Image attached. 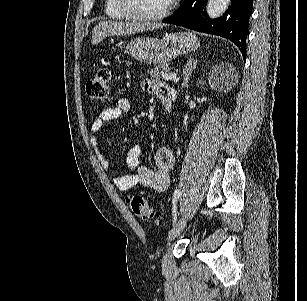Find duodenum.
<instances>
[{
	"instance_id": "obj_1",
	"label": "duodenum",
	"mask_w": 307,
	"mask_h": 301,
	"mask_svg": "<svg viewBox=\"0 0 307 301\" xmlns=\"http://www.w3.org/2000/svg\"><path fill=\"white\" fill-rule=\"evenodd\" d=\"M161 104L167 112H170L172 109V94L170 91L165 92L159 96Z\"/></svg>"
}]
</instances>
